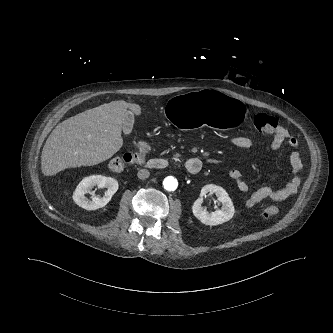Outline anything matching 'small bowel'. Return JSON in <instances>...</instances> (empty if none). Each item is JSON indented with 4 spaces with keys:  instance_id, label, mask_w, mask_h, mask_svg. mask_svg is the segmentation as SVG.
<instances>
[{
    "instance_id": "small-bowel-1",
    "label": "small bowel",
    "mask_w": 333,
    "mask_h": 333,
    "mask_svg": "<svg viewBox=\"0 0 333 333\" xmlns=\"http://www.w3.org/2000/svg\"><path fill=\"white\" fill-rule=\"evenodd\" d=\"M270 134H272V139L269 147L272 150H278L283 144H287L293 149H297L299 146L297 138L280 124H276L274 131ZM231 143L236 148L243 150H249L255 147L254 140L241 135L232 137ZM133 149L141 155H147L151 151V146L143 140H137L133 144ZM290 164L292 178L290 182L281 189H273L269 186H262L250 192L249 185L243 178L240 170L232 169L229 171L228 176L236 184V187L240 192L248 193V197L245 202L247 207H253L263 200L280 202L293 196L300 185V178L298 174L302 171L303 164L301 156L297 151L292 152L290 155Z\"/></svg>"
}]
</instances>
